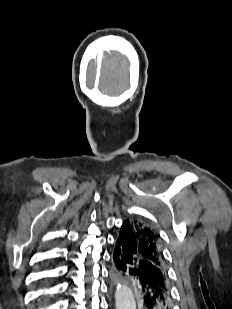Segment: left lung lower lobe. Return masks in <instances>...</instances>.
<instances>
[{
  "label": "left lung lower lobe",
  "instance_id": "left-lung-lower-lobe-1",
  "mask_svg": "<svg viewBox=\"0 0 232 309\" xmlns=\"http://www.w3.org/2000/svg\"><path fill=\"white\" fill-rule=\"evenodd\" d=\"M115 277L131 280L138 294L140 309H172V296L166 270L143 257L123 223L112 251Z\"/></svg>",
  "mask_w": 232,
  "mask_h": 309
}]
</instances>
